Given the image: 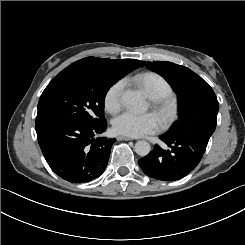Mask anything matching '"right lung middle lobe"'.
I'll return each mask as SVG.
<instances>
[{
    "mask_svg": "<svg viewBox=\"0 0 245 245\" xmlns=\"http://www.w3.org/2000/svg\"><path fill=\"white\" fill-rule=\"evenodd\" d=\"M126 74L111 67L72 63L43 91L36 124L59 120L94 124L105 120V95Z\"/></svg>",
    "mask_w": 245,
    "mask_h": 245,
    "instance_id": "dd1d6c3e",
    "label": "right lung middle lobe"
}]
</instances>
